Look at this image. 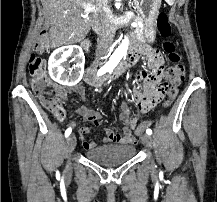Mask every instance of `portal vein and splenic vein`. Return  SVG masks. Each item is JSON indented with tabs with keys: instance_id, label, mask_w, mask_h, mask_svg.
Segmentation results:
<instances>
[{
	"instance_id": "portal-vein-and-splenic-vein-1",
	"label": "portal vein and splenic vein",
	"mask_w": 217,
	"mask_h": 202,
	"mask_svg": "<svg viewBox=\"0 0 217 202\" xmlns=\"http://www.w3.org/2000/svg\"><path fill=\"white\" fill-rule=\"evenodd\" d=\"M88 10H92V8H90V6H88ZM131 26H133V28H136L137 24H135V22H133V24H131Z\"/></svg>"
}]
</instances>
